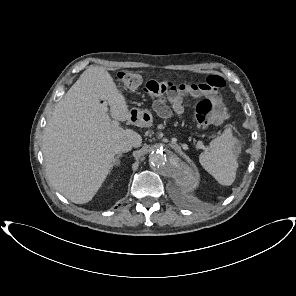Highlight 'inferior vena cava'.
<instances>
[{"label": "inferior vena cava", "mask_w": 296, "mask_h": 296, "mask_svg": "<svg viewBox=\"0 0 296 296\" xmlns=\"http://www.w3.org/2000/svg\"><path fill=\"white\" fill-rule=\"evenodd\" d=\"M133 143L130 140L124 139L120 140L115 144V152L116 153H125L132 149Z\"/></svg>", "instance_id": "1"}]
</instances>
